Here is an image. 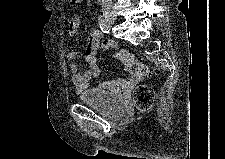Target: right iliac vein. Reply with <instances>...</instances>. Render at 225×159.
Instances as JSON below:
<instances>
[{
  "label": "right iliac vein",
  "mask_w": 225,
  "mask_h": 159,
  "mask_svg": "<svg viewBox=\"0 0 225 159\" xmlns=\"http://www.w3.org/2000/svg\"><path fill=\"white\" fill-rule=\"evenodd\" d=\"M105 18H106V20H107L109 23L113 24V23L116 21V19H117V15H116V13H115L114 11H112V10H107V11L105 12Z\"/></svg>",
  "instance_id": "obj_1"
}]
</instances>
